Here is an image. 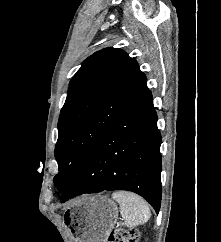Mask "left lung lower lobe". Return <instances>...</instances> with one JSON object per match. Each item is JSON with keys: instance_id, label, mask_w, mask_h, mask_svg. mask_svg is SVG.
Segmentation results:
<instances>
[{"instance_id": "obj_1", "label": "left lung lower lobe", "mask_w": 221, "mask_h": 242, "mask_svg": "<svg viewBox=\"0 0 221 242\" xmlns=\"http://www.w3.org/2000/svg\"><path fill=\"white\" fill-rule=\"evenodd\" d=\"M161 140L148 90L98 139L82 173L63 192L61 202L85 193L127 190L141 195L158 213Z\"/></svg>"}]
</instances>
